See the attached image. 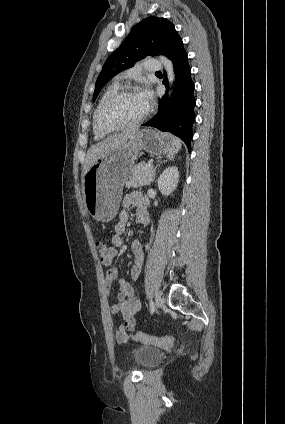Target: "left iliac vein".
I'll list each match as a JSON object with an SVG mask.
<instances>
[{
    "instance_id": "left-iliac-vein-1",
    "label": "left iliac vein",
    "mask_w": 285,
    "mask_h": 424,
    "mask_svg": "<svg viewBox=\"0 0 285 424\" xmlns=\"http://www.w3.org/2000/svg\"><path fill=\"white\" fill-rule=\"evenodd\" d=\"M156 305L158 309L162 308L164 305V299L159 293L156 295Z\"/></svg>"
}]
</instances>
